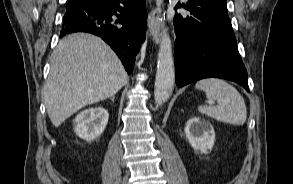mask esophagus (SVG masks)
Here are the masks:
<instances>
[{"mask_svg": "<svg viewBox=\"0 0 293 184\" xmlns=\"http://www.w3.org/2000/svg\"><path fill=\"white\" fill-rule=\"evenodd\" d=\"M159 16H160V8L155 7L148 15V32L152 39L158 43L159 42Z\"/></svg>", "mask_w": 293, "mask_h": 184, "instance_id": "obj_1", "label": "esophagus"}]
</instances>
